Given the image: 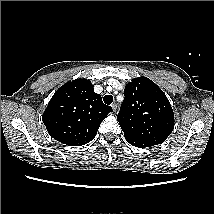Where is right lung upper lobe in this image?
<instances>
[{
	"label": "right lung upper lobe",
	"instance_id": "obj_1",
	"mask_svg": "<svg viewBox=\"0 0 214 214\" xmlns=\"http://www.w3.org/2000/svg\"><path fill=\"white\" fill-rule=\"evenodd\" d=\"M93 87L87 79H76L54 93L42 116L51 137L70 146L94 139L112 108L102 102Z\"/></svg>",
	"mask_w": 214,
	"mask_h": 214
}]
</instances>
